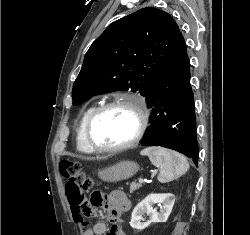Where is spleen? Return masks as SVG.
Listing matches in <instances>:
<instances>
[{"label":"spleen","instance_id":"3e777b00","mask_svg":"<svg viewBox=\"0 0 250 235\" xmlns=\"http://www.w3.org/2000/svg\"><path fill=\"white\" fill-rule=\"evenodd\" d=\"M141 155L148 156L151 163L160 169L158 180L161 183L170 182L189 169V163L183 155L163 147H148L141 151Z\"/></svg>","mask_w":250,"mask_h":235}]
</instances>
